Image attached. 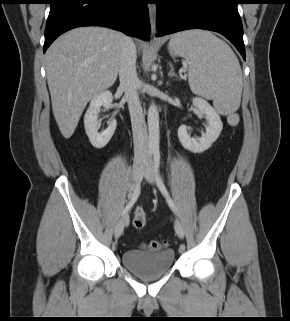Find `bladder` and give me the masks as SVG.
I'll use <instances>...</instances> for the list:
<instances>
[{
    "mask_svg": "<svg viewBox=\"0 0 290 321\" xmlns=\"http://www.w3.org/2000/svg\"><path fill=\"white\" fill-rule=\"evenodd\" d=\"M125 268L142 278L158 277L169 271L175 260V253L170 249L158 251L127 250L122 253Z\"/></svg>",
    "mask_w": 290,
    "mask_h": 321,
    "instance_id": "31cf9c89",
    "label": "bladder"
}]
</instances>
